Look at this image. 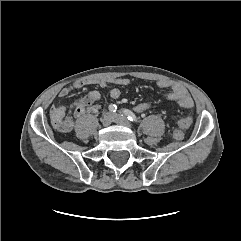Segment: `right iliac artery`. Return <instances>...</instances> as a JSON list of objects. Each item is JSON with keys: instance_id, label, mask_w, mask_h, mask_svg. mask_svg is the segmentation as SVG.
<instances>
[{"instance_id": "82829eb1", "label": "right iliac artery", "mask_w": 241, "mask_h": 241, "mask_svg": "<svg viewBox=\"0 0 241 241\" xmlns=\"http://www.w3.org/2000/svg\"><path fill=\"white\" fill-rule=\"evenodd\" d=\"M109 110H110L111 112H116V111H117V106L114 105V104H111V105H109Z\"/></svg>"}]
</instances>
